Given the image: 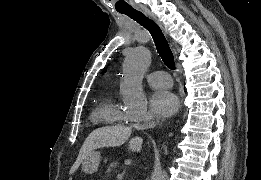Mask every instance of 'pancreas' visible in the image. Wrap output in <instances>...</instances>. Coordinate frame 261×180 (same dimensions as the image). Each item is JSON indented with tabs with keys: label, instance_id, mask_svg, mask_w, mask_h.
Listing matches in <instances>:
<instances>
[{
	"label": "pancreas",
	"instance_id": "cf45deb5",
	"mask_svg": "<svg viewBox=\"0 0 261 180\" xmlns=\"http://www.w3.org/2000/svg\"><path fill=\"white\" fill-rule=\"evenodd\" d=\"M116 167H120V162H117L116 159H110V162L107 163V173L104 174V177L114 178V173L112 170H115Z\"/></svg>",
	"mask_w": 261,
	"mask_h": 180
}]
</instances>
